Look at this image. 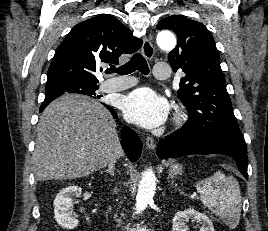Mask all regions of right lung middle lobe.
I'll list each match as a JSON object with an SVG mask.
<instances>
[{
	"label": "right lung middle lobe",
	"instance_id": "dd1d6c3e",
	"mask_svg": "<svg viewBox=\"0 0 268 231\" xmlns=\"http://www.w3.org/2000/svg\"><path fill=\"white\" fill-rule=\"evenodd\" d=\"M97 84H86L74 81H58L45 86V99H52L63 94H84L95 97V91L98 89Z\"/></svg>",
	"mask_w": 268,
	"mask_h": 231
}]
</instances>
